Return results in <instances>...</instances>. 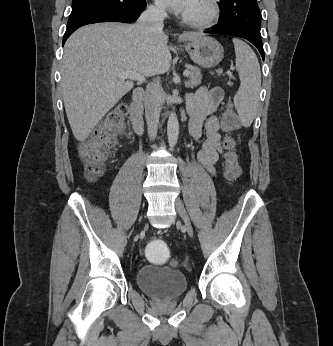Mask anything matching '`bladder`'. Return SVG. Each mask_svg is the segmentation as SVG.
<instances>
[{
  "label": "bladder",
  "mask_w": 333,
  "mask_h": 346,
  "mask_svg": "<svg viewBox=\"0 0 333 346\" xmlns=\"http://www.w3.org/2000/svg\"><path fill=\"white\" fill-rule=\"evenodd\" d=\"M136 282L142 292L160 301L176 299L187 288V279L182 272L151 264L138 270Z\"/></svg>",
  "instance_id": "obj_1"
}]
</instances>
